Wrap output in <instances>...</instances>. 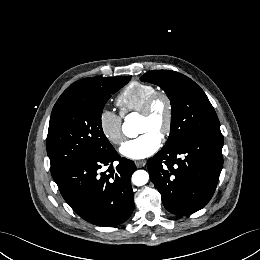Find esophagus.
Listing matches in <instances>:
<instances>
[{"label":"esophagus","instance_id":"esophagus-1","mask_svg":"<svg viewBox=\"0 0 260 260\" xmlns=\"http://www.w3.org/2000/svg\"><path fill=\"white\" fill-rule=\"evenodd\" d=\"M145 164H146V162L143 161V160H137V161H135V165H136L137 168L144 167Z\"/></svg>","mask_w":260,"mask_h":260}]
</instances>
